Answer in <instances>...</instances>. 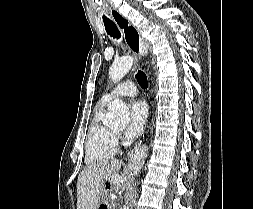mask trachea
I'll list each match as a JSON object with an SVG mask.
<instances>
[{"mask_svg": "<svg viewBox=\"0 0 253 209\" xmlns=\"http://www.w3.org/2000/svg\"><path fill=\"white\" fill-rule=\"evenodd\" d=\"M103 20H104L105 29H106L107 33L113 38H120V32H119L117 26L115 25V23L106 17H104ZM120 27L126 28L127 24L121 25ZM136 79H137L138 84L142 88L148 87L147 76L143 71H138V73L136 74Z\"/></svg>", "mask_w": 253, "mask_h": 209, "instance_id": "trachea-1", "label": "trachea"}]
</instances>
